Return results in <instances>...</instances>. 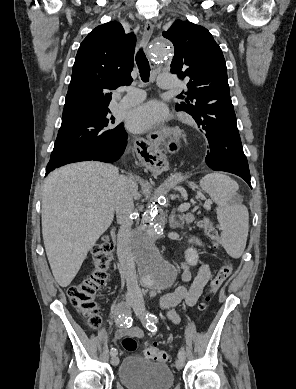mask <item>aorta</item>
Returning <instances> with one entry per match:
<instances>
[{
  "mask_svg": "<svg viewBox=\"0 0 296 389\" xmlns=\"http://www.w3.org/2000/svg\"><path fill=\"white\" fill-rule=\"evenodd\" d=\"M153 66H169L173 51L166 40L153 43L150 51ZM164 223L160 206L151 204L144 212L141 223L131 237V250L138 261L142 283L155 290L169 288L175 279V268L160 254L157 241Z\"/></svg>",
  "mask_w": 296,
  "mask_h": 389,
  "instance_id": "762f6f07",
  "label": "aorta"
}]
</instances>
